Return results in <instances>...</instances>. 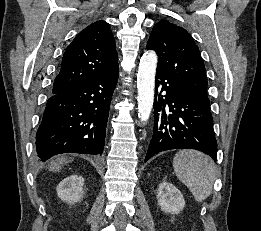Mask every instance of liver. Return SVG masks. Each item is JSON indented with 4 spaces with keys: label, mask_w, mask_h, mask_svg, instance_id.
Segmentation results:
<instances>
[{
    "label": "liver",
    "mask_w": 261,
    "mask_h": 231,
    "mask_svg": "<svg viewBox=\"0 0 261 231\" xmlns=\"http://www.w3.org/2000/svg\"><path fill=\"white\" fill-rule=\"evenodd\" d=\"M70 162V160L68 158H65L63 156L58 157L55 161H53L50 166H49V170L50 171H58L62 168L63 164H66Z\"/></svg>",
    "instance_id": "obj_1"
}]
</instances>
